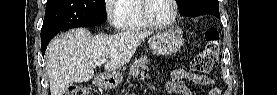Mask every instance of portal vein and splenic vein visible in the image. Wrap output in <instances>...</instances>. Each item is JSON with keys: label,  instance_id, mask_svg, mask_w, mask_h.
Returning <instances> with one entry per match:
<instances>
[{"label": "portal vein and splenic vein", "instance_id": "1", "mask_svg": "<svg viewBox=\"0 0 277 95\" xmlns=\"http://www.w3.org/2000/svg\"><path fill=\"white\" fill-rule=\"evenodd\" d=\"M106 62V59H102V60H100V61H97L96 62V65H101V64H103V63H105Z\"/></svg>", "mask_w": 277, "mask_h": 95}]
</instances>
